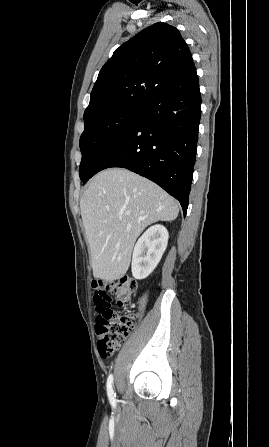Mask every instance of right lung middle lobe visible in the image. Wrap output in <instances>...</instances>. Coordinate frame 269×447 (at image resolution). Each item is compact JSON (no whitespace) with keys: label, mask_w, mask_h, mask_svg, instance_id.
I'll list each match as a JSON object with an SVG mask.
<instances>
[{"label":"right lung middle lobe","mask_w":269,"mask_h":447,"mask_svg":"<svg viewBox=\"0 0 269 447\" xmlns=\"http://www.w3.org/2000/svg\"><path fill=\"white\" fill-rule=\"evenodd\" d=\"M143 112L142 103L121 107L85 121V130L80 137L82 160L79 176L82 181H87L93 164L138 121Z\"/></svg>","instance_id":"dd1d6c3e"}]
</instances>
